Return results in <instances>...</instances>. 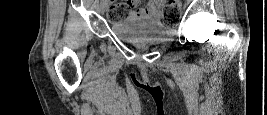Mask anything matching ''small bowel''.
Wrapping results in <instances>:
<instances>
[{
  "instance_id": "1",
  "label": "small bowel",
  "mask_w": 267,
  "mask_h": 115,
  "mask_svg": "<svg viewBox=\"0 0 267 115\" xmlns=\"http://www.w3.org/2000/svg\"><path fill=\"white\" fill-rule=\"evenodd\" d=\"M164 0H151L145 6H139L138 1L132 2V13L134 15L142 16V15H150L154 17H158L160 14V8L163 6Z\"/></svg>"
}]
</instances>
